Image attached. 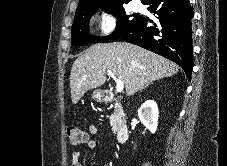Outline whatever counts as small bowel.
I'll return each mask as SVG.
<instances>
[{
    "label": "small bowel",
    "mask_w": 227,
    "mask_h": 166,
    "mask_svg": "<svg viewBox=\"0 0 227 166\" xmlns=\"http://www.w3.org/2000/svg\"><path fill=\"white\" fill-rule=\"evenodd\" d=\"M88 130L91 135H96L98 133V128L95 125H90ZM87 146L91 149L94 148L96 146L95 140H89ZM72 166H82L81 155L78 151H75L72 155Z\"/></svg>",
    "instance_id": "small-bowel-1"
}]
</instances>
